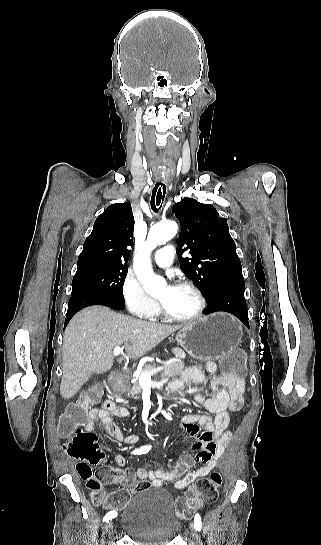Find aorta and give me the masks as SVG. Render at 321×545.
Returning a JSON list of instances; mask_svg holds the SVG:
<instances>
[{"mask_svg":"<svg viewBox=\"0 0 321 545\" xmlns=\"http://www.w3.org/2000/svg\"><path fill=\"white\" fill-rule=\"evenodd\" d=\"M177 230L178 225L174 221L155 224L150 228L143 252L135 258L134 269L137 277L145 291L151 295L157 294L166 283L161 277L154 275L150 264V252L158 245H163L172 239Z\"/></svg>","mask_w":321,"mask_h":545,"instance_id":"aorta-1","label":"aorta"}]
</instances>
